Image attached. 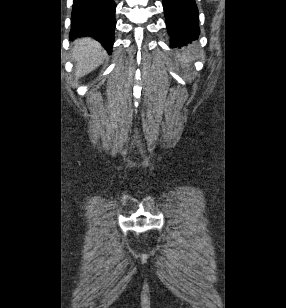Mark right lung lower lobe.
Wrapping results in <instances>:
<instances>
[{
  "label": "right lung lower lobe",
  "mask_w": 286,
  "mask_h": 308,
  "mask_svg": "<svg viewBox=\"0 0 286 308\" xmlns=\"http://www.w3.org/2000/svg\"><path fill=\"white\" fill-rule=\"evenodd\" d=\"M114 0H73L70 39L92 36L111 53L114 43Z\"/></svg>",
  "instance_id": "right-lung-lower-lobe-1"
}]
</instances>
